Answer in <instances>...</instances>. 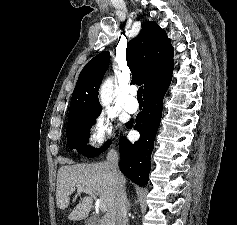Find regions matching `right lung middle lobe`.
<instances>
[{"instance_id": "1", "label": "right lung middle lobe", "mask_w": 237, "mask_h": 225, "mask_svg": "<svg viewBox=\"0 0 237 225\" xmlns=\"http://www.w3.org/2000/svg\"><path fill=\"white\" fill-rule=\"evenodd\" d=\"M98 115L99 114L88 115L76 111L69 112L66 136L68 147L71 150L76 149L79 153L90 158L99 155L109 148V143L105 144L100 149H95L86 145L88 142L89 130L96 122L95 119Z\"/></svg>"}]
</instances>
